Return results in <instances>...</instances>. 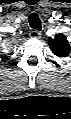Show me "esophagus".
<instances>
[{
  "mask_svg": "<svg viewBox=\"0 0 71 119\" xmlns=\"http://www.w3.org/2000/svg\"><path fill=\"white\" fill-rule=\"evenodd\" d=\"M31 38H40L41 37V32L37 30H32L29 33Z\"/></svg>",
  "mask_w": 71,
  "mask_h": 119,
  "instance_id": "obj_1",
  "label": "esophagus"
}]
</instances>
